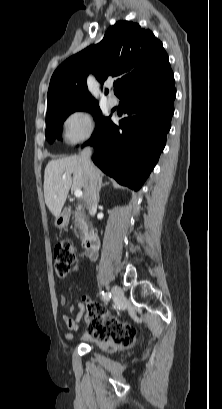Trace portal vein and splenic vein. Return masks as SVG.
<instances>
[{
  "mask_svg": "<svg viewBox=\"0 0 222 409\" xmlns=\"http://www.w3.org/2000/svg\"><path fill=\"white\" fill-rule=\"evenodd\" d=\"M74 195L76 198H81L83 196V192L81 190H75Z\"/></svg>",
  "mask_w": 222,
  "mask_h": 409,
  "instance_id": "1",
  "label": "portal vein and splenic vein"
}]
</instances>
